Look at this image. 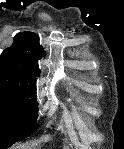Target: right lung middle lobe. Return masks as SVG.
I'll return each mask as SVG.
<instances>
[{"instance_id":"obj_1","label":"right lung middle lobe","mask_w":124,"mask_h":149,"mask_svg":"<svg viewBox=\"0 0 124 149\" xmlns=\"http://www.w3.org/2000/svg\"><path fill=\"white\" fill-rule=\"evenodd\" d=\"M35 87H23L0 77V141L19 142L38 128Z\"/></svg>"}]
</instances>
